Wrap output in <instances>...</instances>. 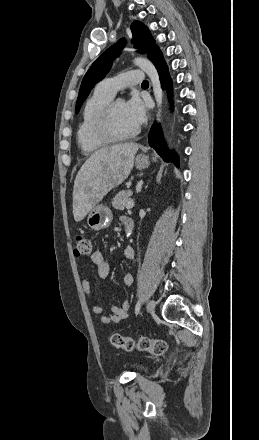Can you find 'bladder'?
<instances>
[{"mask_svg": "<svg viewBox=\"0 0 259 440\" xmlns=\"http://www.w3.org/2000/svg\"><path fill=\"white\" fill-rule=\"evenodd\" d=\"M133 369L136 370L137 372H142V371H146L147 368L143 365L137 364L133 366Z\"/></svg>", "mask_w": 259, "mask_h": 440, "instance_id": "31cf9c89", "label": "bladder"}]
</instances>
